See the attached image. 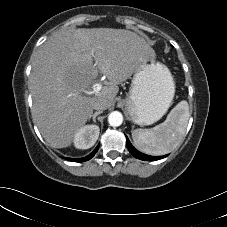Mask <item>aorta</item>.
<instances>
[{"label": "aorta", "mask_w": 227, "mask_h": 227, "mask_svg": "<svg viewBox=\"0 0 227 227\" xmlns=\"http://www.w3.org/2000/svg\"><path fill=\"white\" fill-rule=\"evenodd\" d=\"M108 122L113 127H118L123 122V116L119 111L111 112L108 117Z\"/></svg>", "instance_id": "obj_1"}]
</instances>
